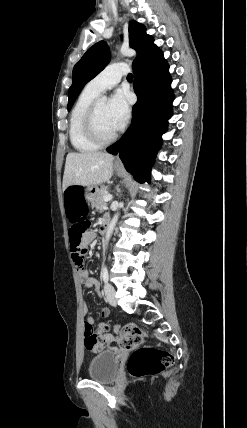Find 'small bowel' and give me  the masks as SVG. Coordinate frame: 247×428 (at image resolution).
<instances>
[{
  "label": "small bowel",
  "instance_id": "obj_1",
  "mask_svg": "<svg viewBox=\"0 0 247 428\" xmlns=\"http://www.w3.org/2000/svg\"><path fill=\"white\" fill-rule=\"evenodd\" d=\"M95 237H96V234L93 231H86L84 233V235H83V237L81 239V243L79 245V247L81 248V250L87 251V248L93 242V240L95 239ZM73 259H74V261H75V263H76V265H77V267L79 269V279H80L81 285L84 288L94 287L95 290H96L97 295L101 296L102 293L100 291L99 284L93 278L90 277L89 272L86 269H83V267H79L78 266L77 260H76V257H75L74 254H73ZM87 311H88V307L83 304L82 305V312L86 316L85 320L91 321L92 324L94 325L95 320H94L93 317L87 316ZM101 324H106V323H101ZM93 325H92V327H93ZM103 334H105V336H106V339H105L106 343H110V342L113 341V337H112L111 334H109V333H103Z\"/></svg>",
  "mask_w": 247,
  "mask_h": 428
}]
</instances>
